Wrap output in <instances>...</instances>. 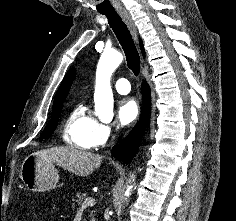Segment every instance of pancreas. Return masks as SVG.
<instances>
[{"instance_id":"cf45deb5","label":"pancreas","mask_w":236,"mask_h":221,"mask_svg":"<svg viewBox=\"0 0 236 221\" xmlns=\"http://www.w3.org/2000/svg\"><path fill=\"white\" fill-rule=\"evenodd\" d=\"M85 198H86L85 193L77 192L76 196L74 198H72V201H73L72 206L73 207L75 205L80 206L83 203ZM90 221H94V215L93 214H90Z\"/></svg>"}]
</instances>
